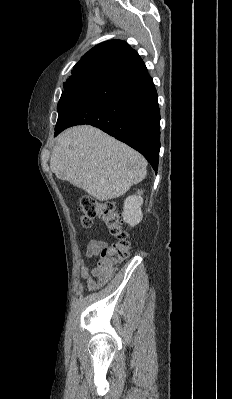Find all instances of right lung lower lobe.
Returning <instances> with one entry per match:
<instances>
[{"instance_id": "right-lung-lower-lobe-1", "label": "right lung lower lobe", "mask_w": 232, "mask_h": 399, "mask_svg": "<svg viewBox=\"0 0 232 399\" xmlns=\"http://www.w3.org/2000/svg\"><path fill=\"white\" fill-rule=\"evenodd\" d=\"M90 124L140 152L157 172L160 112L152 78L141 62L103 80L59 111L55 136Z\"/></svg>"}]
</instances>
